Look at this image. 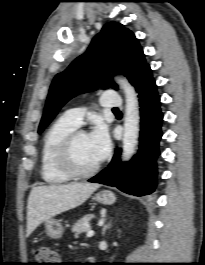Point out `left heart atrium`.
Instances as JSON below:
<instances>
[{
    "mask_svg": "<svg viewBox=\"0 0 205 265\" xmlns=\"http://www.w3.org/2000/svg\"><path fill=\"white\" fill-rule=\"evenodd\" d=\"M92 151L97 161L103 160L109 153L111 142L107 128L98 123L88 135Z\"/></svg>",
    "mask_w": 205,
    "mask_h": 265,
    "instance_id": "39dd6f15",
    "label": "left heart atrium"
}]
</instances>
